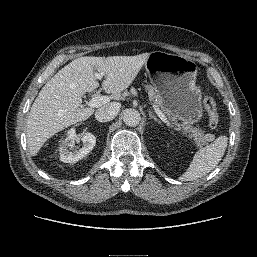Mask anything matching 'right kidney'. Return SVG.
<instances>
[{"mask_svg": "<svg viewBox=\"0 0 257 257\" xmlns=\"http://www.w3.org/2000/svg\"><path fill=\"white\" fill-rule=\"evenodd\" d=\"M82 141L79 148L74 146L75 142ZM96 144V138L92 133H85L82 136L76 135L75 129L71 128L67 136L61 141L59 147L60 160L64 163H74L85 157Z\"/></svg>", "mask_w": 257, "mask_h": 257, "instance_id": "ca27d5eb", "label": "right kidney"}]
</instances>
